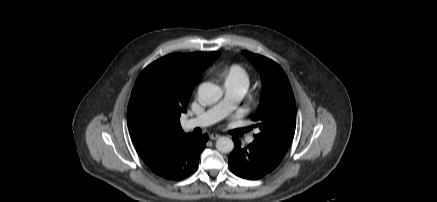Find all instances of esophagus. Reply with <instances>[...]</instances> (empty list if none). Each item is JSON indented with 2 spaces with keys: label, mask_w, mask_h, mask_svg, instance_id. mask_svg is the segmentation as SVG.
<instances>
[{
  "label": "esophagus",
  "mask_w": 437,
  "mask_h": 202,
  "mask_svg": "<svg viewBox=\"0 0 437 202\" xmlns=\"http://www.w3.org/2000/svg\"><path fill=\"white\" fill-rule=\"evenodd\" d=\"M209 137L211 140H215V139L220 138V135L217 133H211Z\"/></svg>",
  "instance_id": "1"
}]
</instances>
